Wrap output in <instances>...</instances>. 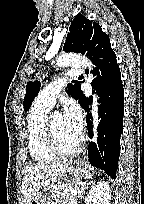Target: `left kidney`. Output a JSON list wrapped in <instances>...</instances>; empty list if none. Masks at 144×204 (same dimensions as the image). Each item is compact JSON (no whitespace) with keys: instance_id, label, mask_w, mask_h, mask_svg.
Here are the masks:
<instances>
[{"instance_id":"5707ae66","label":"left kidney","mask_w":144,"mask_h":204,"mask_svg":"<svg viewBox=\"0 0 144 204\" xmlns=\"http://www.w3.org/2000/svg\"><path fill=\"white\" fill-rule=\"evenodd\" d=\"M111 190L108 182L98 181L85 198V204H110Z\"/></svg>"}]
</instances>
